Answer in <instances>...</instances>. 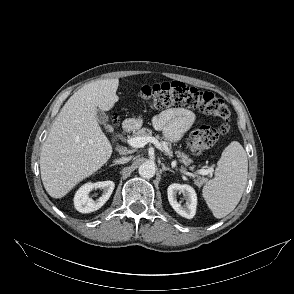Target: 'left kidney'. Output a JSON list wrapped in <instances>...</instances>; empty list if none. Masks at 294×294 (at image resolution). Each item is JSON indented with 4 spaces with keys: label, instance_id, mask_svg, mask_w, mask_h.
Instances as JSON below:
<instances>
[{
    "label": "left kidney",
    "instance_id": "5707ae66",
    "mask_svg": "<svg viewBox=\"0 0 294 294\" xmlns=\"http://www.w3.org/2000/svg\"><path fill=\"white\" fill-rule=\"evenodd\" d=\"M178 192H181L186 200L185 205H181L176 198ZM168 201L172 208L182 217L192 219L196 213L197 195L195 190L189 185L177 183L171 184L167 189Z\"/></svg>",
    "mask_w": 294,
    "mask_h": 294
}]
</instances>
